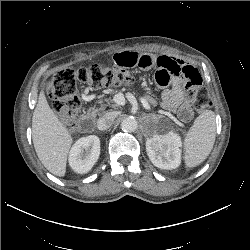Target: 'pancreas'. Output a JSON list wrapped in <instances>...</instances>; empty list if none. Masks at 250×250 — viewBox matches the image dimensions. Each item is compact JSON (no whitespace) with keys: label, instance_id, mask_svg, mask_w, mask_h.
<instances>
[{"label":"pancreas","instance_id":"pancreas-1","mask_svg":"<svg viewBox=\"0 0 250 250\" xmlns=\"http://www.w3.org/2000/svg\"><path fill=\"white\" fill-rule=\"evenodd\" d=\"M105 101L107 102V104H104L103 100H99V104H100V108L96 110V112L101 113L103 111H105L107 106H111V107H115V104H111V100L109 98L105 99Z\"/></svg>","mask_w":250,"mask_h":250}]
</instances>
